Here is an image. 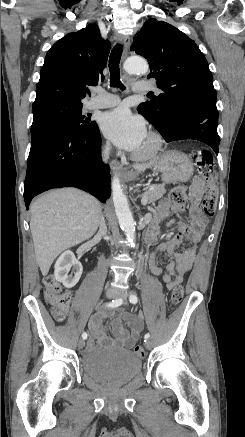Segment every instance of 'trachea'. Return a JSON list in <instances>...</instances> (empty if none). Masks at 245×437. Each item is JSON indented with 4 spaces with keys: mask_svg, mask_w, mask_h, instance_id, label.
<instances>
[{
    "mask_svg": "<svg viewBox=\"0 0 245 437\" xmlns=\"http://www.w3.org/2000/svg\"><path fill=\"white\" fill-rule=\"evenodd\" d=\"M123 52V45L116 44L112 49L109 59L110 85L125 90V86L120 81V59ZM149 95V94H148Z\"/></svg>",
    "mask_w": 245,
    "mask_h": 437,
    "instance_id": "trachea-1",
    "label": "trachea"
}]
</instances>
